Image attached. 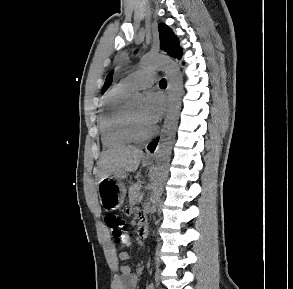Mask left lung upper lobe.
I'll return each instance as SVG.
<instances>
[{
	"mask_svg": "<svg viewBox=\"0 0 293 289\" xmlns=\"http://www.w3.org/2000/svg\"><path fill=\"white\" fill-rule=\"evenodd\" d=\"M158 29L160 35V48L170 56L180 59L182 49L179 47L178 38L175 36L171 28L164 23H160Z\"/></svg>",
	"mask_w": 293,
	"mask_h": 289,
	"instance_id": "left-lung-upper-lobe-1",
	"label": "left lung upper lobe"
}]
</instances>
